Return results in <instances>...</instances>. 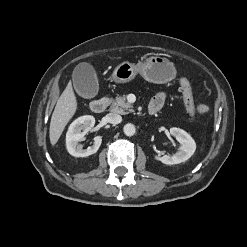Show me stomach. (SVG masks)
<instances>
[{"mask_svg":"<svg viewBox=\"0 0 247 247\" xmlns=\"http://www.w3.org/2000/svg\"><path fill=\"white\" fill-rule=\"evenodd\" d=\"M137 74H140L148 82L163 84L175 78L176 69L166 58L150 56L138 64L122 62L114 69L111 78L116 83H127L133 80Z\"/></svg>","mask_w":247,"mask_h":247,"instance_id":"1","label":"stomach"}]
</instances>
